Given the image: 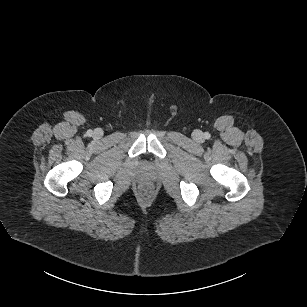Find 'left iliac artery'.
Returning <instances> with one entry per match:
<instances>
[{
  "label": "left iliac artery",
  "mask_w": 307,
  "mask_h": 307,
  "mask_svg": "<svg viewBox=\"0 0 307 307\" xmlns=\"http://www.w3.org/2000/svg\"><path fill=\"white\" fill-rule=\"evenodd\" d=\"M204 137H205V139H209V138H210V134H209L208 132H206V133L204 134Z\"/></svg>",
  "instance_id": "44dca946"
}]
</instances>
